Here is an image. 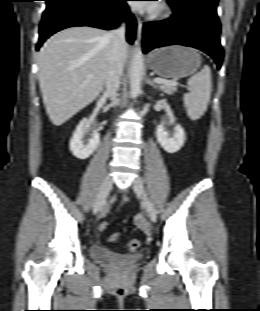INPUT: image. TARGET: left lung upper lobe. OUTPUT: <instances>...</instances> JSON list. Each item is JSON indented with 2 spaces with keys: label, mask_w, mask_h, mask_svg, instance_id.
Instances as JSON below:
<instances>
[{
  "label": "left lung upper lobe",
  "mask_w": 260,
  "mask_h": 311,
  "mask_svg": "<svg viewBox=\"0 0 260 311\" xmlns=\"http://www.w3.org/2000/svg\"><path fill=\"white\" fill-rule=\"evenodd\" d=\"M168 3L171 6H186V5H197L200 6L213 15L217 16L216 6L218 4V0H168Z\"/></svg>",
  "instance_id": "5c2ea615"
}]
</instances>
